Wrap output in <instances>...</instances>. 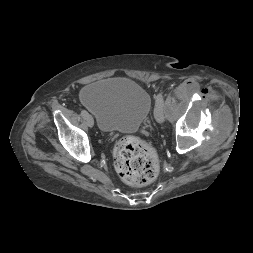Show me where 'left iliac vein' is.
Returning a JSON list of instances; mask_svg holds the SVG:
<instances>
[{"mask_svg":"<svg viewBox=\"0 0 253 253\" xmlns=\"http://www.w3.org/2000/svg\"><path fill=\"white\" fill-rule=\"evenodd\" d=\"M165 106L162 103H159L157 106H155L154 109V116L155 119L158 123H163L164 122V111H165Z\"/></svg>","mask_w":253,"mask_h":253,"instance_id":"obj_1","label":"left iliac vein"}]
</instances>
